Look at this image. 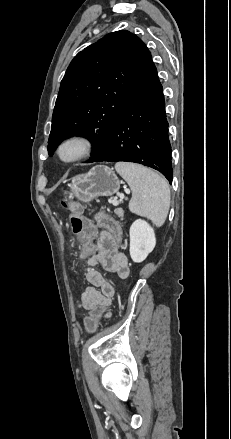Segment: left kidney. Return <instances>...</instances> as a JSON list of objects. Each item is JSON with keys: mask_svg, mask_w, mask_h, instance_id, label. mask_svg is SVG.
<instances>
[{"mask_svg": "<svg viewBox=\"0 0 231 439\" xmlns=\"http://www.w3.org/2000/svg\"><path fill=\"white\" fill-rule=\"evenodd\" d=\"M129 234L131 259L136 263L143 262L156 245L154 230L145 220L137 219L132 223Z\"/></svg>", "mask_w": 231, "mask_h": 439, "instance_id": "1", "label": "left kidney"}]
</instances>
